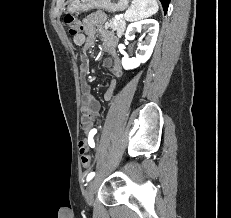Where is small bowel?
Listing matches in <instances>:
<instances>
[{"instance_id": "c3829d8e", "label": "small bowel", "mask_w": 231, "mask_h": 218, "mask_svg": "<svg viewBox=\"0 0 231 218\" xmlns=\"http://www.w3.org/2000/svg\"><path fill=\"white\" fill-rule=\"evenodd\" d=\"M104 20L105 14L101 11H95L89 14L83 21L84 34L74 36L73 41L76 46L87 50L93 47L97 37H100L102 49L109 55L108 58L104 59L102 65L113 75L110 87L105 92L103 99L105 102H111L113 100V92L117 85V79L122 76V66L116 52V37L113 33L101 28ZM88 70L89 64L87 58L83 57L80 64V86L82 101L81 128L89 136V131L91 128H94L95 121L99 116L101 106L99 101H97L91 93V88L86 77ZM87 145L88 142L81 141L79 145L80 151H85Z\"/></svg>"}]
</instances>
